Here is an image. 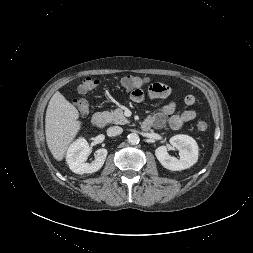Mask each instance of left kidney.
Wrapping results in <instances>:
<instances>
[{
    "label": "left kidney",
    "mask_w": 253,
    "mask_h": 253,
    "mask_svg": "<svg viewBox=\"0 0 253 253\" xmlns=\"http://www.w3.org/2000/svg\"><path fill=\"white\" fill-rule=\"evenodd\" d=\"M170 144L179 150L180 159L172 157L166 146L155 150V155L163 167L172 171H181L194 165L198 160L197 142L190 136L179 134L170 138Z\"/></svg>",
    "instance_id": "left-kidney-1"
}]
</instances>
